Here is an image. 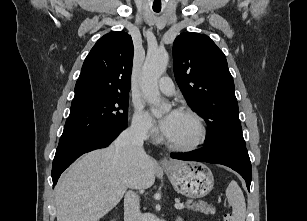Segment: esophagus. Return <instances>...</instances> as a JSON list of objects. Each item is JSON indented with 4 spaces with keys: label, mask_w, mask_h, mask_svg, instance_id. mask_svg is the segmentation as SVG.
I'll return each instance as SVG.
<instances>
[{
    "label": "esophagus",
    "mask_w": 307,
    "mask_h": 221,
    "mask_svg": "<svg viewBox=\"0 0 307 221\" xmlns=\"http://www.w3.org/2000/svg\"><path fill=\"white\" fill-rule=\"evenodd\" d=\"M160 164H161L163 167H165V166H168V165H169V162H168L167 159H162V160H160Z\"/></svg>",
    "instance_id": "34e87169"
}]
</instances>
